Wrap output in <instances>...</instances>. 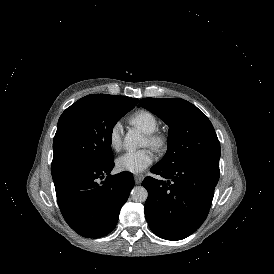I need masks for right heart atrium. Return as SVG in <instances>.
Instances as JSON below:
<instances>
[{
    "mask_svg": "<svg viewBox=\"0 0 274 274\" xmlns=\"http://www.w3.org/2000/svg\"><path fill=\"white\" fill-rule=\"evenodd\" d=\"M108 142L112 150L118 151L122 145V139L120 134V124H114L111 126L108 132Z\"/></svg>",
    "mask_w": 274,
    "mask_h": 274,
    "instance_id": "obj_1",
    "label": "right heart atrium"
}]
</instances>
